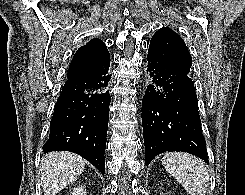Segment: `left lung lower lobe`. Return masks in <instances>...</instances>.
<instances>
[{"mask_svg": "<svg viewBox=\"0 0 245 195\" xmlns=\"http://www.w3.org/2000/svg\"><path fill=\"white\" fill-rule=\"evenodd\" d=\"M147 60L152 84L142 101L146 165L166 151L188 152L208 163L193 81Z\"/></svg>", "mask_w": 245, "mask_h": 195, "instance_id": "left-lung-lower-lobe-1", "label": "left lung lower lobe"}]
</instances>
